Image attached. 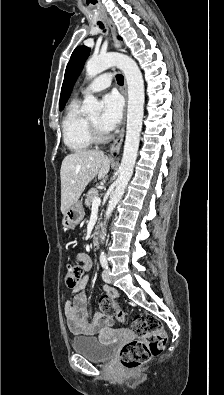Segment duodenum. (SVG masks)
<instances>
[{"instance_id": "1", "label": "duodenum", "mask_w": 224, "mask_h": 395, "mask_svg": "<svg viewBox=\"0 0 224 395\" xmlns=\"http://www.w3.org/2000/svg\"><path fill=\"white\" fill-rule=\"evenodd\" d=\"M99 228V224H96L92 232L90 239L92 247H98L99 245Z\"/></svg>"}]
</instances>
